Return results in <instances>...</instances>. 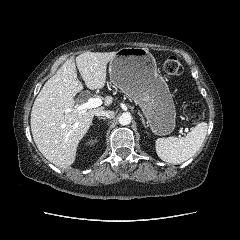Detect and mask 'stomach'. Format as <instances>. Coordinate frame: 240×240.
<instances>
[{
  "mask_svg": "<svg viewBox=\"0 0 240 240\" xmlns=\"http://www.w3.org/2000/svg\"><path fill=\"white\" fill-rule=\"evenodd\" d=\"M111 82L141 107L151 130L168 135L175 128L176 110L167 83L157 73L146 48L126 47L109 63Z\"/></svg>",
  "mask_w": 240,
  "mask_h": 240,
  "instance_id": "obj_1",
  "label": "stomach"
}]
</instances>
